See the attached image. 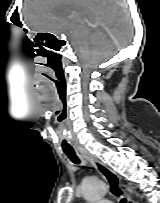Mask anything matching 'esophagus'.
<instances>
[{
  "label": "esophagus",
  "mask_w": 160,
  "mask_h": 203,
  "mask_svg": "<svg viewBox=\"0 0 160 203\" xmlns=\"http://www.w3.org/2000/svg\"><path fill=\"white\" fill-rule=\"evenodd\" d=\"M79 152L83 155V157L88 160L95 169L105 178V180L109 184L110 192L116 196L124 197L127 203H133L131 198L126 195L123 184L119 176L110 170L106 165L101 163L96 157L89 154L84 149L80 148Z\"/></svg>",
  "instance_id": "esophagus-1"
}]
</instances>
